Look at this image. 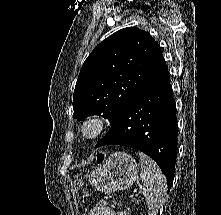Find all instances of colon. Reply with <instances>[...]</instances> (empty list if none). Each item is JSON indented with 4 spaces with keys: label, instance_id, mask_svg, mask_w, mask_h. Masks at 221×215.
<instances>
[{
    "label": "colon",
    "instance_id": "1",
    "mask_svg": "<svg viewBox=\"0 0 221 215\" xmlns=\"http://www.w3.org/2000/svg\"><path fill=\"white\" fill-rule=\"evenodd\" d=\"M103 159H104V155L102 153H98L97 154V161L101 162V161H103Z\"/></svg>",
    "mask_w": 221,
    "mask_h": 215
}]
</instances>
